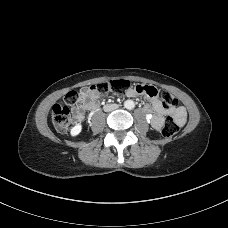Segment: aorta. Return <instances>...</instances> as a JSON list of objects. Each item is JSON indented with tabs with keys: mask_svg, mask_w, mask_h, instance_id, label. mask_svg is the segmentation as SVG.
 Returning <instances> with one entry per match:
<instances>
[{
	"mask_svg": "<svg viewBox=\"0 0 228 228\" xmlns=\"http://www.w3.org/2000/svg\"><path fill=\"white\" fill-rule=\"evenodd\" d=\"M124 107H125L126 109L131 110V109H133V108L135 107V103H134L133 100H126V101L124 102Z\"/></svg>",
	"mask_w": 228,
	"mask_h": 228,
	"instance_id": "aorta-1",
	"label": "aorta"
}]
</instances>
